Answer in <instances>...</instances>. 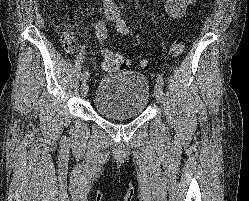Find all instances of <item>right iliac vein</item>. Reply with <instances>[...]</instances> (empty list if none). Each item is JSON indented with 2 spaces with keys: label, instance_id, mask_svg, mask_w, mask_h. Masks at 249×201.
Wrapping results in <instances>:
<instances>
[{
  "label": "right iliac vein",
  "instance_id": "right-iliac-vein-1",
  "mask_svg": "<svg viewBox=\"0 0 249 201\" xmlns=\"http://www.w3.org/2000/svg\"><path fill=\"white\" fill-rule=\"evenodd\" d=\"M105 15L107 19L112 20L114 18V11L111 7L105 8ZM89 86L87 80H84L81 84V96L85 97L88 93Z\"/></svg>",
  "mask_w": 249,
  "mask_h": 201
}]
</instances>
